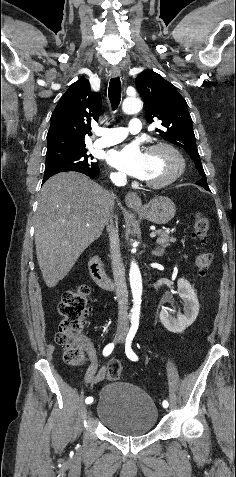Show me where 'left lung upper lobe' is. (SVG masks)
I'll list each match as a JSON object with an SVG mask.
<instances>
[{
  "instance_id": "5c2ea615",
  "label": "left lung upper lobe",
  "mask_w": 236,
  "mask_h": 477,
  "mask_svg": "<svg viewBox=\"0 0 236 477\" xmlns=\"http://www.w3.org/2000/svg\"><path fill=\"white\" fill-rule=\"evenodd\" d=\"M136 87L145 102L147 122L152 123L154 119L162 121L163 128L156 131L163 139L182 147L189 154L202 176L196 184L209 190L185 99L175 86L151 70L139 74Z\"/></svg>"
}]
</instances>
